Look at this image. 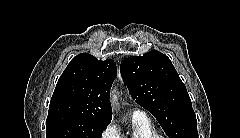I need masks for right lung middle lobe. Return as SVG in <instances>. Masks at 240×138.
Listing matches in <instances>:
<instances>
[{
	"mask_svg": "<svg viewBox=\"0 0 240 138\" xmlns=\"http://www.w3.org/2000/svg\"><path fill=\"white\" fill-rule=\"evenodd\" d=\"M107 122L84 117L58 115L47 117V138H101Z\"/></svg>",
	"mask_w": 240,
	"mask_h": 138,
	"instance_id": "1",
	"label": "right lung middle lobe"
}]
</instances>
